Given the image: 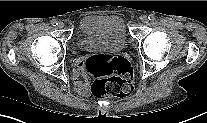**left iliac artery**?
<instances>
[{
	"label": "left iliac artery",
	"mask_w": 207,
	"mask_h": 123,
	"mask_svg": "<svg viewBox=\"0 0 207 123\" xmlns=\"http://www.w3.org/2000/svg\"><path fill=\"white\" fill-rule=\"evenodd\" d=\"M148 19H149L150 21H154V20H155V15H154V14H150V15L148 16Z\"/></svg>",
	"instance_id": "44dca946"
}]
</instances>
